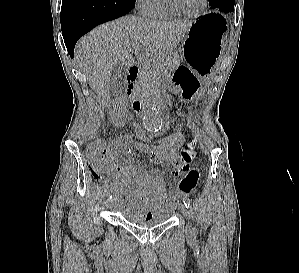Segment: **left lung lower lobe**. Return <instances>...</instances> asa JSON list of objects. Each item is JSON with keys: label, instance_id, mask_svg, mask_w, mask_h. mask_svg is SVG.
Segmentation results:
<instances>
[{"label": "left lung lower lobe", "instance_id": "left-lung-lower-lobe-1", "mask_svg": "<svg viewBox=\"0 0 299 273\" xmlns=\"http://www.w3.org/2000/svg\"><path fill=\"white\" fill-rule=\"evenodd\" d=\"M214 9H217V10H219L221 12H224V13L233 12L234 11V1L223 0Z\"/></svg>", "mask_w": 299, "mask_h": 273}]
</instances>
